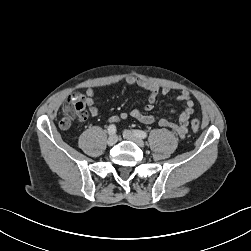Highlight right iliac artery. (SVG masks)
Masks as SVG:
<instances>
[{
    "label": "right iliac artery",
    "instance_id": "1",
    "mask_svg": "<svg viewBox=\"0 0 251 251\" xmlns=\"http://www.w3.org/2000/svg\"><path fill=\"white\" fill-rule=\"evenodd\" d=\"M115 132H116V126L115 125H110L109 127H108V133H109V135H113V134H115Z\"/></svg>",
    "mask_w": 251,
    "mask_h": 251
}]
</instances>
